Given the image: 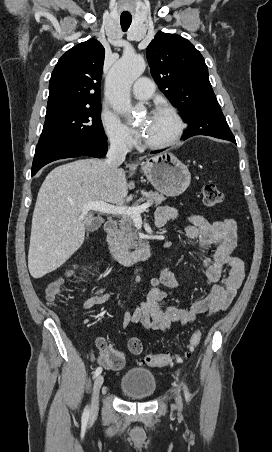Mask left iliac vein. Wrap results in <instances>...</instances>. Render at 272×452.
<instances>
[{
    "instance_id": "4c4485c4",
    "label": "left iliac vein",
    "mask_w": 272,
    "mask_h": 452,
    "mask_svg": "<svg viewBox=\"0 0 272 452\" xmlns=\"http://www.w3.org/2000/svg\"><path fill=\"white\" fill-rule=\"evenodd\" d=\"M176 403H177L178 409L181 410L182 409V398H181V395L179 394V391H177V394H176Z\"/></svg>"
}]
</instances>
